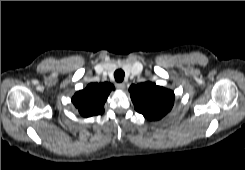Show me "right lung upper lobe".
<instances>
[{
	"mask_svg": "<svg viewBox=\"0 0 245 170\" xmlns=\"http://www.w3.org/2000/svg\"><path fill=\"white\" fill-rule=\"evenodd\" d=\"M114 86L108 82L90 83L72 97V103L83 117L100 115L104 112V103Z\"/></svg>",
	"mask_w": 245,
	"mask_h": 170,
	"instance_id": "cb5924a9",
	"label": "right lung upper lobe"
}]
</instances>
